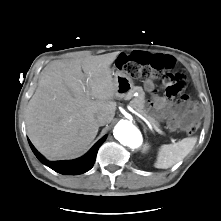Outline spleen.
<instances>
[{"label":"spleen","instance_id":"3e777b00","mask_svg":"<svg viewBox=\"0 0 221 221\" xmlns=\"http://www.w3.org/2000/svg\"><path fill=\"white\" fill-rule=\"evenodd\" d=\"M197 137L184 138L173 144H164L159 148L154 166L167 169L184 159L194 148Z\"/></svg>","mask_w":221,"mask_h":221}]
</instances>
